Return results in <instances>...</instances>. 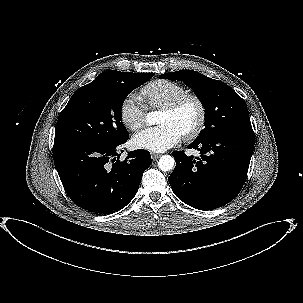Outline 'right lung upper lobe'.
Listing matches in <instances>:
<instances>
[{
    "label": "right lung upper lobe",
    "instance_id": "1",
    "mask_svg": "<svg viewBox=\"0 0 303 303\" xmlns=\"http://www.w3.org/2000/svg\"><path fill=\"white\" fill-rule=\"evenodd\" d=\"M109 71L119 72V71H115V70H108V71H105V72H109ZM119 73H126V72H119Z\"/></svg>",
    "mask_w": 303,
    "mask_h": 303
}]
</instances>
